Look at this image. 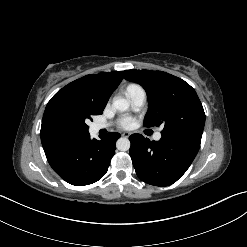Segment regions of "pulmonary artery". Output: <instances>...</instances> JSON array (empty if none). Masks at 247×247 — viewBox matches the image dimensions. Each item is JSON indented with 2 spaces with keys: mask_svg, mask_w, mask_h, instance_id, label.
<instances>
[{
  "mask_svg": "<svg viewBox=\"0 0 247 247\" xmlns=\"http://www.w3.org/2000/svg\"><path fill=\"white\" fill-rule=\"evenodd\" d=\"M126 95L129 98L133 109H135V110L140 109L146 101L145 91L141 87L130 91ZM106 126H107L106 124L98 123V124H95L94 128H95V130H100L102 128H105ZM154 139L156 141L160 140L161 139V133L157 132L154 135Z\"/></svg>",
  "mask_w": 247,
  "mask_h": 247,
  "instance_id": "1",
  "label": "pulmonary artery"
}]
</instances>
